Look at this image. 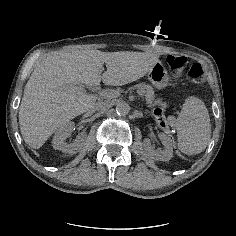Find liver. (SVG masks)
I'll return each instance as SVG.
<instances>
[{
  "label": "liver",
  "instance_id": "6515ba94",
  "mask_svg": "<svg viewBox=\"0 0 236 236\" xmlns=\"http://www.w3.org/2000/svg\"><path fill=\"white\" fill-rule=\"evenodd\" d=\"M145 58L146 53L94 49H72L42 57L25 85L19 107V125L25 143L39 149L57 129L95 104L96 97L81 91L79 84L131 83L147 73L143 66Z\"/></svg>",
  "mask_w": 236,
  "mask_h": 236
}]
</instances>
